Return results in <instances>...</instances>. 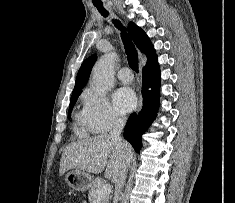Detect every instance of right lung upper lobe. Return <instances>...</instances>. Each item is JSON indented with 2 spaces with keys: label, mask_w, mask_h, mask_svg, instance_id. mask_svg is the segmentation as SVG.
Returning a JSON list of instances; mask_svg holds the SVG:
<instances>
[{
  "label": "right lung upper lobe",
  "mask_w": 235,
  "mask_h": 203,
  "mask_svg": "<svg viewBox=\"0 0 235 203\" xmlns=\"http://www.w3.org/2000/svg\"><path fill=\"white\" fill-rule=\"evenodd\" d=\"M128 33L140 51L146 54L147 62L157 56L149 37L139 26L130 22L128 24ZM95 61L96 55H92L83 62L78 71L76 84L72 94L81 93L82 88L89 79Z\"/></svg>",
  "instance_id": "right-lung-upper-lobe-1"
}]
</instances>
